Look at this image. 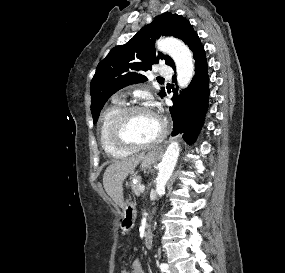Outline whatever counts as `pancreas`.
Wrapping results in <instances>:
<instances>
[{
  "label": "pancreas",
  "mask_w": 285,
  "mask_h": 273,
  "mask_svg": "<svg viewBox=\"0 0 285 273\" xmlns=\"http://www.w3.org/2000/svg\"><path fill=\"white\" fill-rule=\"evenodd\" d=\"M136 179L140 180L138 177ZM140 185H141L140 183L139 184H131L132 192L135 196H140V194H141V191L139 190Z\"/></svg>",
  "instance_id": "1"
}]
</instances>
